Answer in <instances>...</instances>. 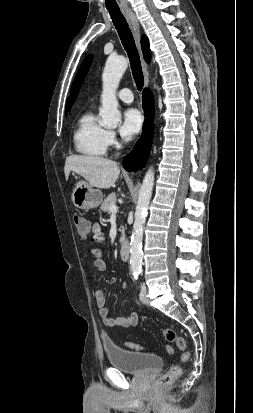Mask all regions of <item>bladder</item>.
I'll list each match as a JSON object with an SVG mask.
<instances>
[{
    "label": "bladder",
    "instance_id": "bladder-1",
    "mask_svg": "<svg viewBox=\"0 0 253 413\" xmlns=\"http://www.w3.org/2000/svg\"><path fill=\"white\" fill-rule=\"evenodd\" d=\"M103 349L111 366L126 373L142 374L163 365L160 355L128 350L108 340H104Z\"/></svg>",
    "mask_w": 253,
    "mask_h": 413
}]
</instances>
